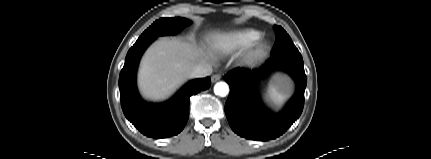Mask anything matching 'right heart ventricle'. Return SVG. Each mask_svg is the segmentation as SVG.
I'll return each instance as SVG.
<instances>
[{"label":"right heart ventricle","instance_id":"1","mask_svg":"<svg viewBox=\"0 0 431 159\" xmlns=\"http://www.w3.org/2000/svg\"><path fill=\"white\" fill-rule=\"evenodd\" d=\"M260 36L261 33L255 29H241L218 36L212 47L220 54H229L251 45Z\"/></svg>","mask_w":431,"mask_h":159}]
</instances>
